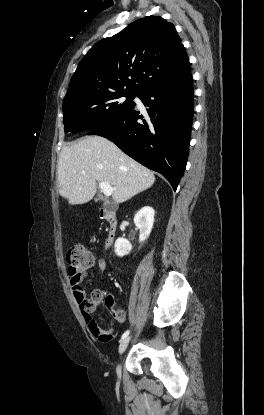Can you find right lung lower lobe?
Segmentation results:
<instances>
[{
    "instance_id": "98d812e1",
    "label": "right lung lower lobe",
    "mask_w": 264,
    "mask_h": 415,
    "mask_svg": "<svg viewBox=\"0 0 264 415\" xmlns=\"http://www.w3.org/2000/svg\"><path fill=\"white\" fill-rule=\"evenodd\" d=\"M147 114L135 106L115 119L93 128L89 135H99L114 142L123 152L161 173L177 189L184 174L194 111L191 72L141 92Z\"/></svg>"
}]
</instances>
